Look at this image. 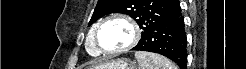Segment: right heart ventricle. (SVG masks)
<instances>
[{"instance_id":"1","label":"right heart ventricle","mask_w":246,"mask_h":69,"mask_svg":"<svg viewBox=\"0 0 246 69\" xmlns=\"http://www.w3.org/2000/svg\"><path fill=\"white\" fill-rule=\"evenodd\" d=\"M98 24H95L94 26H92V28L90 29L88 36H87V40H86V48L87 51L91 54V55H99L100 51L97 49L95 40H94V30L96 28Z\"/></svg>"}]
</instances>
